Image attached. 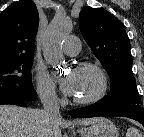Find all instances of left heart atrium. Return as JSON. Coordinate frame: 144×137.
Returning a JSON list of instances; mask_svg holds the SVG:
<instances>
[{"label":"left heart atrium","instance_id":"left-heart-atrium-1","mask_svg":"<svg viewBox=\"0 0 144 137\" xmlns=\"http://www.w3.org/2000/svg\"><path fill=\"white\" fill-rule=\"evenodd\" d=\"M63 92L69 96H74L77 89L76 71H71L60 81Z\"/></svg>","mask_w":144,"mask_h":137}]
</instances>
